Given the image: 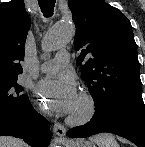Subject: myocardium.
Instances as JSON below:
<instances>
[{"label":"myocardium","instance_id":"myocardium-1","mask_svg":"<svg viewBox=\"0 0 145 147\" xmlns=\"http://www.w3.org/2000/svg\"><path fill=\"white\" fill-rule=\"evenodd\" d=\"M78 98L83 103V110L79 113H71L67 118L69 124L76 126L87 124L97 112L96 101L89 92L82 91Z\"/></svg>","mask_w":145,"mask_h":147}]
</instances>
